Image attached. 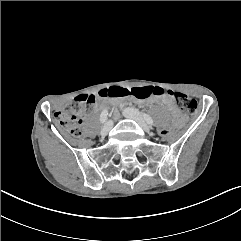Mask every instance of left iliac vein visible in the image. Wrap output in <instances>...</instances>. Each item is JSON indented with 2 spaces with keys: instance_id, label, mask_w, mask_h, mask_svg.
I'll list each match as a JSON object with an SVG mask.
<instances>
[{
  "instance_id": "left-iliac-vein-1",
  "label": "left iliac vein",
  "mask_w": 241,
  "mask_h": 241,
  "mask_svg": "<svg viewBox=\"0 0 241 241\" xmlns=\"http://www.w3.org/2000/svg\"><path fill=\"white\" fill-rule=\"evenodd\" d=\"M123 115L129 119L134 120L145 131L150 132L151 127L146 123L140 112L134 108H126L123 111Z\"/></svg>"
}]
</instances>
